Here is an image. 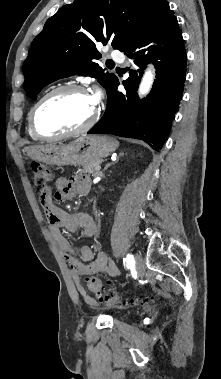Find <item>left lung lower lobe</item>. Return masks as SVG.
Here are the masks:
<instances>
[{"instance_id":"0a47b994","label":"left lung lower lobe","mask_w":221,"mask_h":379,"mask_svg":"<svg viewBox=\"0 0 221 379\" xmlns=\"http://www.w3.org/2000/svg\"><path fill=\"white\" fill-rule=\"evenodd\" d=\"M124 54L133 59L125 92L116 80L107 89V108L88 133H104L144 140L159 150L171 129L182 98L186 72V51L176 17L164 1L151 24L130 41ZM152 61L156 79L150 94L140 100L136 91L142 71ZM136 66L138 68H136Z\"/></svg>"}]
</instances>
